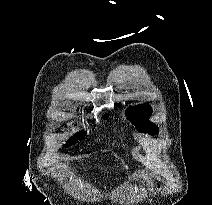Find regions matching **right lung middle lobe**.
<instances>
[{"label": "right lung middle lobe", "mask_w": 212, "mask_h": 205, "mask_svg": "<svg viewBox=\"0 0 212 205\" xmlns=\"http://www.w3.org/2000/svg\"><path fill=\"white\" fill-rule=\"evenodd\" d=\"M108 115L105 114V116H103V118L107 119ZM84 136H85V133L84 132H79L77 134H75L73 137H71L67 143H66V146H70L72 144H75L78 140H83L84 139Z\"/></svg>", "instance_id": "obj_1"}]
</instances>
